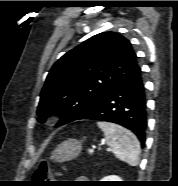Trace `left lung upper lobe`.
<instances>
[{"label": "left lung upper lobe", "instance_id": "1", "mask_svg": "<svg viewBox=\"0 0 178 186\" xmlns=\"http://www.w3.org/2000/svg\"><path fill=\"white\" fill-rule=\"evenodd\" d=\"M138 68L131 43L123 36L103 32L89 38L49 71L40 94L38 122L52 114L61 117L57 126L73 121Z\"/></svg>", "mask_w": 178, "mask_h": 186}]
</instances>
